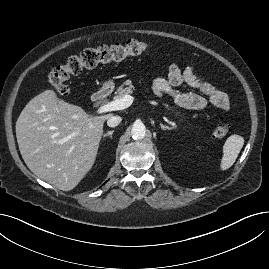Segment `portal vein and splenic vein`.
I'll list each match as a JSON object with an SVG mask.
<instances>
[{
    "instance_id": "1",
    "label": "portal vein and splenic vein",
    "mask_w": 269,
    "mask_h": 269,
    "mask_svg": "<svg viewBox=\"0 0 269 269\" xmlns=\"http://www.w3.org/2000/svg\"><path fill=\"white\" fill-rule=\"evenodd\" d=\"M133 100H134V97L127 94L123 96L122 98H118L111 102L103 104L97 109V113L102 114V113L111 112V111L123 110L129 107L133 103Z\"/></svg>"
}]
</instances>
